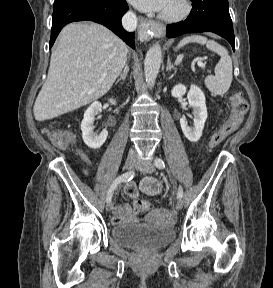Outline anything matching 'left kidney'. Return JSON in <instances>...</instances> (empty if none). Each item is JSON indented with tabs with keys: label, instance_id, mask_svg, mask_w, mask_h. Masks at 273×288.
Segmentation results:
<instances>
[{
	"label": "left kidney",
	"instance_id": "left-kidney-1",
	"mask_svg": "<svg viewBox=\"0 0 273 288\" xmlns=\"http://www.w3.org/2000/svg\"><path fill=\"white\" fill-rule=\"evenodd\" d=\"M187 92L185 85L177 84L173 87L171 94L173 97H182ZM187 98L190 107L193 109L194 124L188 126L184 118L180 119L181 129L185 137L191 142H197L203 132L204 124L207 119V108L205 103V95L203 91L196 85H191L187 92Z\"/></svg>",
	"mask_w": 273,
	"mask_h": 288
}]
</instances>
